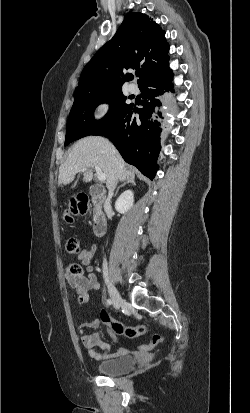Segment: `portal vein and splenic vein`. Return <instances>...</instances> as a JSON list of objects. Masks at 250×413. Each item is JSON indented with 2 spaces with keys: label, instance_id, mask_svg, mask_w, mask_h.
Masks as SVG:
<instances>
[{
  "label": "portal vein and splenic vein",
  "instance_id": "1",
  "mask_svg": "<svg viewBox=\"0 0 250 413\" xmlns=\"http://www.w3.org/2000/svg\"><path fill=\"white\" fill-rule=\"evenodd\" d=\"M85 170L86 168H82L81 172H84ZM95 170H96L99 181L104 182L106 180L105 174L101 171V169L98 166H95Z\"/></svg>",
  "mask_w": 250,
  "mask_h": 413
}]
</instances>
